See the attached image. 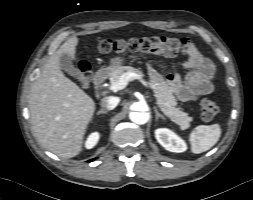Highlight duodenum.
Returning <instances> with one entry per match:
<instances>
[{
	"instance_id": "410a0bca",
	"label": "duodenum",
	"mask_w": 253,
	"mask_h": 200,
	"mask_svg": "<svg viewBox=\"0 0 253 200\" xmlns=\"http://www.w3.org/2000/svg\"><path fill=\"white\" fill-rule=\"evenodd\" d=\"M108 74H109V70L106 68L99 69L95 73L93 77V84H94L95 89H98L102 85V83L108 77Z\"/></svg>"
}]
</instances>
